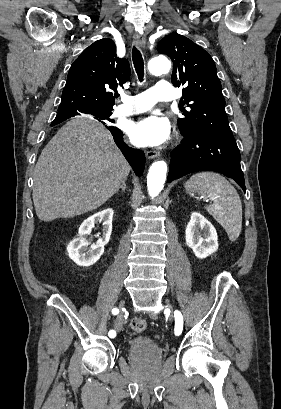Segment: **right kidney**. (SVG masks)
<instances>
[{"label": "right kidney", "mask_w": 281, "mask_h": 409, "mask_svg": "<svg viewBox=\"0 0 281 409\" xmlns=\"http://www.w3.org/2000/svg\"><path fill=\"white\" fill-rule=\"evenodd\" d=\"M113 209H104L95 215H91L83 221L79 227L77 239L70 241L67 249L70 251L71 259L79 267H91L104 253V247L109 243L112 233ZM103 221V235L96 243H89L88 235L96 223ZM90 245V247H89Z\"/></svg>", "instance_id": "right-kidney-1"}]
</instances>
